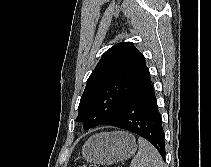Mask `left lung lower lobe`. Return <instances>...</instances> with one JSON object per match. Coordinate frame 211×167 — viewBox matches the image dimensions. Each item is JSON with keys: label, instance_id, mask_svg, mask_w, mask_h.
<instances>
[{"label": "left lung lower lobe", "instance_id": "left-lung-lower-lobe-1", "mask_svg": "<svg viewBox=\"0 0 211 167\" xmlns=\"http://www.w3.org/2000/svg\"><path fill=\"white\" fill-rule=\"evenodd\" d=\"M105 124L131 131L145 138L165 159V133L152 82L132 96Z\"/></svg>", "mask_w": 211, "mask_h": 167}]
</instances>
